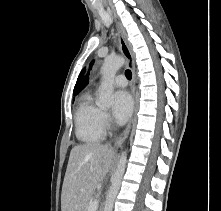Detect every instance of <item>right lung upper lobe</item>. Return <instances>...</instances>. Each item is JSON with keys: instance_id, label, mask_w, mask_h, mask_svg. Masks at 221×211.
I'll list each match as a JSON object with an SVG mask.
<instances>
[{"instance_id": "right-lung-upper-lobe-1", "label": "right lung upper lobe", "mask_w": 221, "mask_h": 211, "mask_svg": "<svg viewBox=\"0 0 221 211\" xmlns=\"http://www.w3.org/2000/svg\"><path fill=\"white\" fill-rule=\"evenodd\" d=\"M83 74H84V69L82 70V72L80 73V75L77 79L76 85L74 87V94L78 93L82 89V86H83L82 76H83Z\"/></svg>"}]
</instances>
